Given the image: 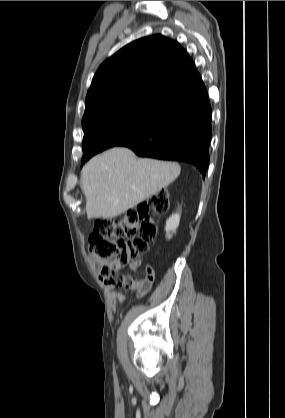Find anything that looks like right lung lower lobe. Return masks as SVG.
<instances>
[{"label": "right lung lower lobe", "instance_id": "obj_1", "mask_svg": "<svg viewBox=\"0 0 285 418\" xmlns=\"http://www.w3.org/2000/svg\"><path fill=\"white\" fill-rule=\"evenodd\" d=\"M211 122L212 109L204 87L171 105L158 120L118 146L128 147L141 157L190 163L205 175Z\"/></svg>", "mask_w": 285, "mask_h": 418}]
</instances>
